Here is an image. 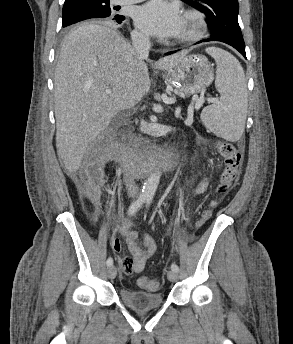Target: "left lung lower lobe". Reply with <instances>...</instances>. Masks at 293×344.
Masks as SVG:
<instances>
[{"label": "left lung lower lobe", "instance_id": "left-lung-lower-lobe-1", "mask_svg": "<svg viewBox=\"0 0 293 344\" xmlns=\"http://www.w3.org/2000/svg\"><path fill=\"white\" fill-rule=\"evenodd\" d=\"M204 42H207V41H221V42H224L226 44H229L231 45L232 47H234L236 50H238L245 58H246V53H245V44L242 45V44H237V43H233V42H230V41H227V40H223V39H217V38H213V37H210L208 39H205L203 40ZM202 41L198 42V43H201ZM176 51H173V52H168L166 53L165 55H169V54H172V53H175Z\"/></svg>", "mask_w": 293, "mask_h": 344}]
</instances>
